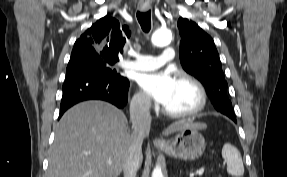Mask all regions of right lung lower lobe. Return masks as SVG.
Returning a JSON list of instances; mask_svg holds the SVG:
<instances>
[{
	"instance_id": "obj_1",
	"label": "right lung lower lobe",
	"mask_w": 287,
	"mask_h": 177,
	"mask_svg": "<svg viewBox=\"0 0 287 177\" xmlns=\"http://www.w3.org/2000/svg\"><path fill=\"white\" fill-rule=\"evenodd\" d=\"M129 81L127 78L113 79L95 72H78L66 75L60 114L73 105L86 100H103L118 108L128 101Z\"/></svg>"
}]
</instances>
